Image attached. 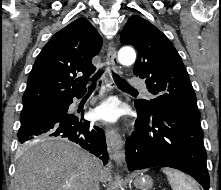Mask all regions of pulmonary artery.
<instances>
[{
  "label": "pulmonary artery",
  "mask_w": 221,
  "mask_h": 190,
  "mask_svg": "<svg viewBox=\"0 0 221 190\" xmlns=\"http://www.w3.org/2000/svg\"><path fill=\"white\" fill-rule=\"evenodd\" d=\"M129 85L132 87H136V88H144V86H145L143 80L138 77H132L129 80ZM149 96H150V94H149Z\"/></svg>",
  "instance_id": "1"
}]
</instances>
